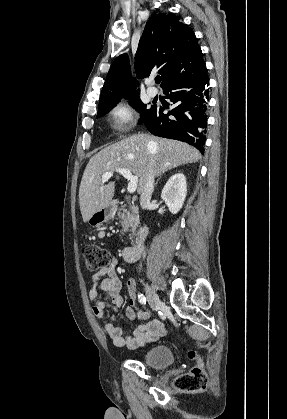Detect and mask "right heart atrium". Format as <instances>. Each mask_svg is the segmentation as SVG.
Instances as JSON below:
<instances>
[{"mask_svg": "<svg viewBox=\"0 0 287 419\" xmlns=\"http://www.w3.org/2000/svg\"><path fill=\"white\" fill-rule=\"evenodd\" d=\"M109 119L112 130L117 134L123 133L134 122L133 109L128 103L121 101L111 108Z\"/></svg>", "mask_w": 287, "mask_h": 419, "instance_id": "right-heart-atrium-1", "label": "right heart atrium"}]
</instances>
